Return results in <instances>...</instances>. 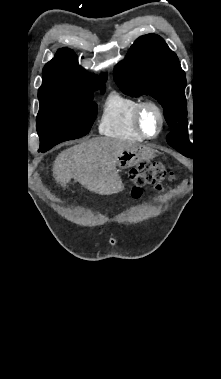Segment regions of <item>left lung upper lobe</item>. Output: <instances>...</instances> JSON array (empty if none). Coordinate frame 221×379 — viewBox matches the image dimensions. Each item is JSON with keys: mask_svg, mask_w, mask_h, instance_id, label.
Returning a JSON list of instances; mask_svg holds the SVG:
<instances>
[{"mask_svg": "<svg viewBox=\"0 0 221 379\" xmlns=\"http://www.w3.org/2000/svg\"><path fill=\"white\" fill-rule=\"evenodd\" d=\"M114 79L130 96L150 95L164 108V116L173 131L167 142L186 157L193 145L188 138L186 77L176 54L156 34L139 37L124 61L116 65Z\"/></svg>", "mask_w": 221, "mask_h": 379, "instance_id": "5c2ea615", "label": "left lung upper lobe"}]
</instances>
